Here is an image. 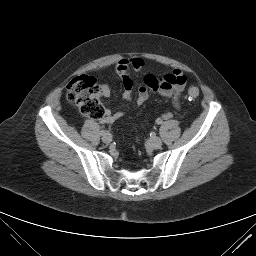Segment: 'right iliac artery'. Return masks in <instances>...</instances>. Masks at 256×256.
<instances>
[{"label":"right iliac artery","mask_w":256,"mask_h":256,"mask_svg":"<svg viewBox=\"0 0 256 256\" xmlns=\"http://www.w3.org/2000/svg\"><path fill=\"white\" fill-rule=\"evenodd\" d=\"M105 134H106V131H105V130H101V131H100V135L103 136V135H105Z\"/></svg>","instance_id":"82829eb1"}]
</instances>
